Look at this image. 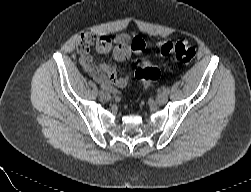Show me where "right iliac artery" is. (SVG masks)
I'll return each mask as SVG.
<instances>
[{"label": "right iliac artery", "instance_id": "right-iliac-artery-1", "mask_svg": "<svg viewBox=\"0 0 251 192\" xmlns=\"http://www.w3.org/2000/svg\"><path fill=\"white\" fill-rule=\"evenodd\" d=\"M104 95V91L103 90H100L99 91V96L102 97Z\"/></svg>", "mask_w": 251, "mask_h": 192}]
</instances>
